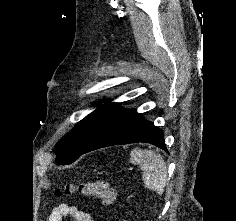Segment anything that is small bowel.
<instances>
[{"mask_svg":"<svg viewBox=\"0 0 236 221\" xmlns=\"http://www.w3.org/2000/svg\"><path fill=\"white\" fill-rule=\"evenodd\" d=\"M66 216H71L73 221H95L89 212L65 203L59 204L54 208L48 221H62L63 217Z\"/></svg>","mask_w":236,"mask_h":221,"instance_id":"c3829d8e","label":"small bowel"}]
</instances>
